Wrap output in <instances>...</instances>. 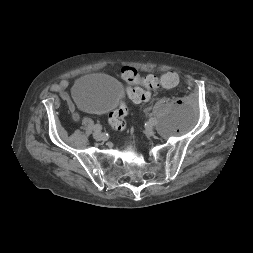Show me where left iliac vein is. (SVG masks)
Here are the masks:
<instances>
[{
    "label": "left iliac vein",
    "mask_w": 253,
    "mask_h": 253,
    "mask_svg": "<svg viewBox=\"0 0 253 253\" xmlns=\"http://www.w3.org/2000/svg\"><path fill=\"white\" fill-rule=\"evenodd\" d=\"M153 125H149L146 127V133L149 134L150 136L154 135V129L152 127Z\"/></svg>",
    "instance_id": "1"
}]
</instances>
